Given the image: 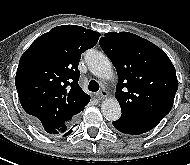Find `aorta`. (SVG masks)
I'll use <instances>...</instances> for the list:
<instances>
[{
    "label": "aorta",
    "instance_id": "1",
    "mask_svg": "<svg viewBox=\"0 0 190 165\" xmlns=\"http://www.w3.org/2000/svg\"><path fill=\"white\" fill-rule=\"evenodd\" d=\"M90 72L104 79H110L113 75L112 64L107 56L101 52L93 51L87 58ZM101 111L108 121H116L121 116L119 102L115 98H107L102 101Z\"/></svg>",
    "mask_w": 190,
    "mask_h": 165
}]
</instances>
